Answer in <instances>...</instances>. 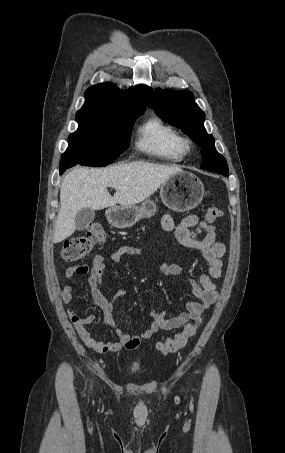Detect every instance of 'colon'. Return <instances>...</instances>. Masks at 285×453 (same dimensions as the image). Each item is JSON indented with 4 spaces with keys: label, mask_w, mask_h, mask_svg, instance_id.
Here are the masks:
<instances>
[{
    "label": "colon",
    "mask_w": 285,
    "mask_h": 453,
    "mask_svg": "<svg viewBox=\"0 0 285 453\" xmlns=\"http://www.w3.org/2000/svg\"><path fill=\"white\" fill-rule=\"evenodd\" d=\"M222 215L218 207L211 206L207 209L204 225H209L219 219ZM106 239V232L99 222L91 223L84 235L73 237L65 241L61 250V259L64 262L72 263L80 261L90 255L96 245L102 244ZM201 319H195L194 323L185 326L182 332L176 334L157 344V349L162 354L175 353L184 348L189 340L194 337L200 326Z\"/></svg>",
    "instance_id": "obj_1"
}]
</instances>
